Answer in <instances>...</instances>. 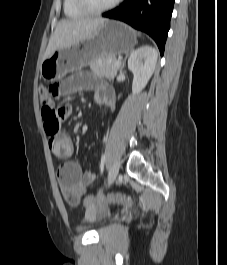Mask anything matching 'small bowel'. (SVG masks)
Returning <instances> with one entry per match:
<instances>
[{
    "label": "small bowel",
    "instance_id": "small-bowel-1",
    "mask_svg": "<svg viewBox=\"0 0 227 265\" xmlns=\"http://www.w3.org/2000/svg\"><path fill=\"white\" fill-rule=\"evenodd\" d=\"M94 76V72H74L64 81H55L54 85L59 86V91L63 95L92 90L98 104L113 108V90L101 81L94 79ZM72 111V107H64V104L59 107V112H67L66 117ZM48 144L52 154L63 160L57 170L61 194L70 206H79L88 187L96 180V173L91 170H83L78 162L70 159L74 147L73 141L67 133L58 131L54 135H49Z\"/></svg>",
    "mask_w": 227,
    "mask_h": 265
}]
</instances>
